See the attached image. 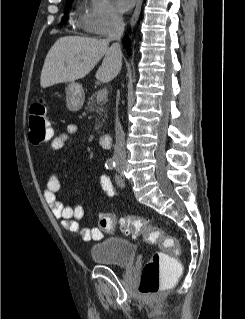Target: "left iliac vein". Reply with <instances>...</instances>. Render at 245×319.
Instances as JSON below:
<instances>
[{
	"label": "left iliac vein",
	"instance_id": "4c4485c4",
	"mask_svg": "<svg viewBox=\"0 0 245 319\" xmlns=\"http://www.w3.org/2000/svg\"><path fill=\"white\" fill-rule=\"evenodd\" d=\"M118 176L116 177L117 184L121 187L124 186V179L122 178V170H119L117 167Z\"/></svg>",
	"mask_w": 245,
	"mask_h": 319
}]
</instances>
